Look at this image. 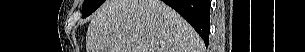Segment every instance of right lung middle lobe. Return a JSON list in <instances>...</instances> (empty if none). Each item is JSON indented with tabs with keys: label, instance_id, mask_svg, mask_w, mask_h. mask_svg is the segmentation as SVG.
Masks as SVG:
<instances>
[{
	"label": "right lung middle lobe",
	"instance_id": "obj_1",
	"mask_svg": "<svg viewBox=\"0 0 305 52\" xmlns=\"http://www.w3.org/2000/svg\"><path fill=\"white\" fill-rule=\"evenodd\" d=\"M105 0H85L82 5V17L85 18L93 13Z\"/></svg>",
	"mask_w": 305,
	"mask_h": 52
}]
</instances>
